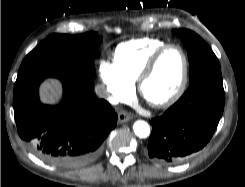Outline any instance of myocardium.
Segmentation results:
<instances>
[{
    "mask_svg": "<svg viewBox=\"0 0 245 187\" xmlns=\"http://www.w3.org/2000/svg\"><path fill=\"white\" fill-rule=\"evenodd\" d=\"M170 49H177L182 56L183 59V70H182V75L179 81V84L175 91L169 95L167 98L158 101V102H150L145 99L144 94H143V86L145 82L148 80V78L152 75V73L155 70V67L159 61V59L165 54L168 50ZM188 78H189V60L187 57V54L185 50L178 44H166L160 49H158L146 62L144 67L142 68L141 72L138 75L137 81H136V87L137 91L140 94L142 98H144L152 107L156 109H165L173 104H175L184 94L187 83H188Z\"/></svg>",
    "mask_w": 245,
    "mask_h": 187,
    "instance_id": "myocardium-1",
    "label": "myocardium"
}]
</instances>
